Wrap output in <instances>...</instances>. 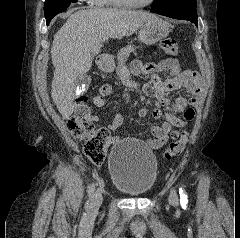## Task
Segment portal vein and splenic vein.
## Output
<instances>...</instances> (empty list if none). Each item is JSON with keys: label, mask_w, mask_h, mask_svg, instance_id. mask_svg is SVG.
Returning a JSON list of instances; mask_svg holds the SVG:
<instances>
[{"label": "portal vein and splenic vein", "mask_w": 240, "mask_h": 238, "mask_svg": "<svg viewBox=\"0 0 240 238\" xmlns=\"http://www.w3.org/2000/svg\"><path fill=\"white\" fill-rule=\"evenodd\" d=\"M100 48H101V46L94 47V48L92 49V53H94V54L98 53L99 50H100Z\"/></svg>", "instance_id": "obj_1"}]
</instances>
